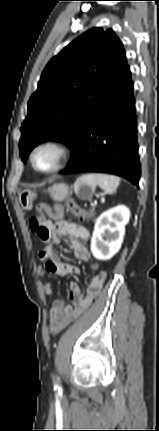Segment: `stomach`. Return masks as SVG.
Segmentation results:
<instances>
[{"mask_svg":"<svg viewBox=\"0 0 159 431\" xmlns=\"http://www.w3.org/2000/svg\"><path fill=\"white\" fill-rule=\"evenodd\" d=\"M48 192L54 201L62 202L69 195V188L66 184L59 183L54 184ZM74 192L82 200H90L94 194V186L83 182L80 177L74 185ZM36 196L33 190L29 188L22 189L19 192V202L22 208L24 210H31Z\"/></svg>","mask_w":159,"mask_h":431,"instance_id":"0dacf381","label":"stomach"}]
</instances>
